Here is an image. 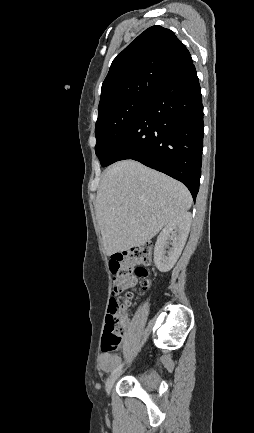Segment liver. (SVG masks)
<instances>
[{"instance_id":"6515ba94","label":"liver","mask_w":254,"mask_h":433,"mask_svg":"<svg viewBox=\"0 0 254 433\" xmlns=\"http://www.w3.org/2000/svg\"><path fill=\"white\" fill-rule=\"evenodd\" d=\"M191 204L189 190L163 173L133 160L111 165L95 205L106 254L145 244Z\"/></svg>"}]
</instances>
